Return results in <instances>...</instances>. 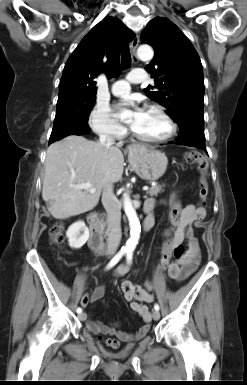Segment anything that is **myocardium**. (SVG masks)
<instances>
[{
  "instance_id": "1",
  "label": "myocardium",
  "mask_w": 247,
  "mask_h": 385,
  "mask_svg": "<svg viewBox=\"0 0 247 385\" xmlns=\"http://www.w3.org/2000/svg\"><path fill=\"white\" fill-rule=\"evenodd\" d=\"M146 110L155 111L158 114H160L165 119L167 124L169 125V131L163 137L148 138V137H145V136L138 134L133 128H131V134L133 135V137H135L136 139H138L142 142L151 143V144H159V143H164V142L171 140L176 135L177 124L174 121V119L170 116V114L162 106H160L158 104L147 105Z\"/></svg>"
}]
</instances>
